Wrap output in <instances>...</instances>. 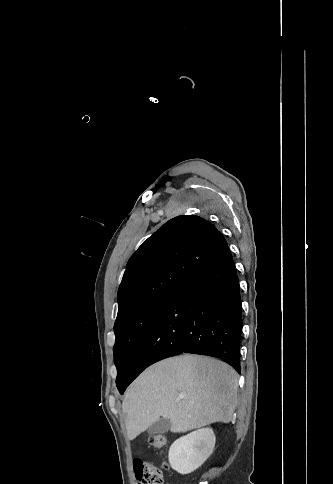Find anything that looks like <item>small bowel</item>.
<instances>
[{
  "label": "small bowel",
  "mask_w": 333,
  "mask_h": 484,
  "mask_svg": "<svg viewBox=\"0 0 333 484\" xmlns=\"http://www.w3.org/2000/svg\"><path fill=\"white\" fill-rule=\"evenodd\" d=\"M141 462H142V460H140V459H135L134 462H133V468H134V472H135L136 475L138 473Z\"/></svg>",
  "instance_id": "obj_1"
}]
</instances>
